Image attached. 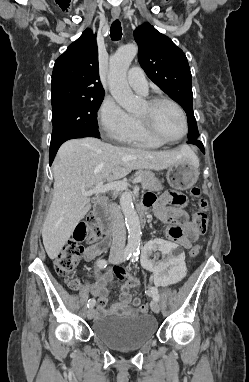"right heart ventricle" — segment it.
<instances>
[{
    "label": "right heart ventricle",
    "mask_w": 249,
    "mask_h": 382,
    "mask_svg": "<svg viewBox=\"0 0 249 382\" xmlns=\"http://www.w3.org/2000/svg\"><path fill=\"white\" fill-rule=\"evenodd\" d=\"M133 120H134L133 131L122 142L139 146V147H144V148H158L162 146L161 143L156 142L155 140H153L152 138H150L149 136L145 134L137 118H133Z\"/></svg>",
    "instance_id": "right-heart-ventricle-1"
}]
</instances>
